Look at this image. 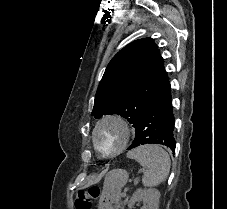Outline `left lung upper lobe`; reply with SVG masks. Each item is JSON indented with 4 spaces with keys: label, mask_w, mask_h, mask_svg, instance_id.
<instances>
[{
    "label": "left lung upper lobe",
    "mask_w": 227,
    "mask_h": 209,
    "mask_svg": "<svg viewBox=\"0 0 227 209\" xmlns=\"http://www.w3.org/2000/svg\"><path fill=\"white\" fill-rule=\"evenodd\" d=\"M169 84L163 58L151 38L131 42L108 64L95 96L92 115L117 114L136 129L146 107Z\"/></svg>",
    "instance_id": "1"
}]
</instances>
